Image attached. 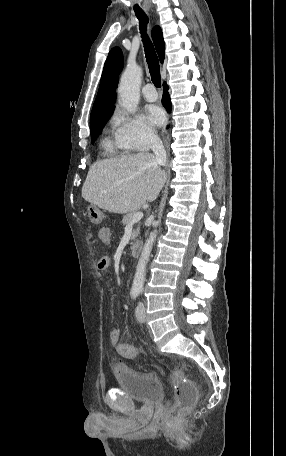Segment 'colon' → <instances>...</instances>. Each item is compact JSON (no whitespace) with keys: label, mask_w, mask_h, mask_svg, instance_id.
<instances>
[{"label":"colon","mask_w":286,"mask_h":456,"mask_svg":"<svg viewBox=\"0 0 286 456\" xmlns=\"http://www.w3.org/2000/svg\"><path fill=\"white\" fill-rule=\"evenodd\" d=\"M121 353L128 358H136L139 355V349L126 344L121 347ZM170 381L175 389V405L170 411L171 415L191 409L197 398L196 386L186 381L179 370L172 372Z\"/></svg>","instance_id":"colon-1"}]
</instances>
